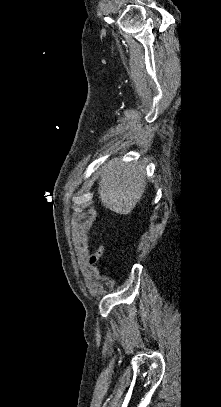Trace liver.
<instances>
[{
    "mask_svg": "<svg viewBox=\"0 0 221 407\" xmlns=\"http://www.w3.org/2000/svg\"><path fill=\"white\" fill-rule=\"evenodd\" d=\"M143 163L115 160L102 168L98 194L101 204L118 214H129L146 188Z\"/></svg>",
    "mask_w": 221,
    "mask_h": 407,
    "instance_id": "6515ba94",
    "label": "liver"
}]
</instances>
